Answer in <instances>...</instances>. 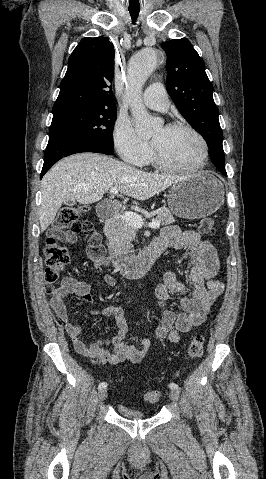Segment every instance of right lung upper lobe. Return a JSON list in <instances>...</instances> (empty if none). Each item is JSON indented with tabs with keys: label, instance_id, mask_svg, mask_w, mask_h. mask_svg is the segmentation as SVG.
<instances>
[{
	"label": "right lung upper lobe",
	"instance_id": "obj_1",
	"mask_svg": "<svg viewBox=\"0 0 266 479\" xmlns=\"http://www.w3.org/2000/svg\"><path fill=\"white\" fill-rule=\"evenodd\" d=\"M114 56V47L108 38H83L69 57L53 113L116 109L112 91Z\"/></svg>",
	"mask_w": 266,
	"mask_h": 479
}]
</instances>
